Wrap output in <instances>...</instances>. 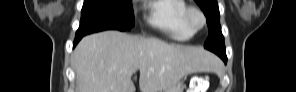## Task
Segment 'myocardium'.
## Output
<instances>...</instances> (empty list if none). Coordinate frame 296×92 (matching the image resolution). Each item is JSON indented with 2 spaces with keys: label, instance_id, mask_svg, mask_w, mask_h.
Here are the masks:
<instances>
[{
  "label": "myocardium",
  "instance_id": "myocardium-1",
  "mask_svg": "<svg viewBox=\"0 0 296 92\" xmlns=\"http://www.w3.org/2000/svg\"><path fill=\"white\" fill-rule=\"evenodd\" d=\"M198 18V20L195 19ZM185 21L189 29L196 33L206 25V17L203 11L197 7H188L185 15Z\"/></svg>",
  "mask_w": 296,
  "mask_h": 92
}]
</instances>
